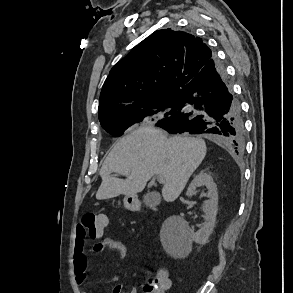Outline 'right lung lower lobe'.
<instances>
[{"instance_id": "obj_1", "label": "right lung lower lobe", "mask_w": 293, "mask_h": 293, "mask_svg": "<svg viewBox=\"0 0 293 293\" xmlns=\"http://www.w3.org/2000/svg\"><path fill=\"white\" fill-rule=\"evenodd\" d=\"M176 110L155 122L170 133L207 134L237 154L244 150V124L225 70L214 57L182 89Z\"/></svg>"}]
</instances>
